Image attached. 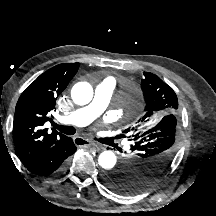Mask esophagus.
Here are the masks:
<instances>
[{
  "mask_svg": "<svg viewBox=\"0 0 216 216\" xmlns=\"http://www.w3.org/2000/svg\"><path fill=\"white\" fill-rule=\"evenodd\" d=\"M73 141H74V143H75L76 145H79V146H84V145L91 146V145H92V146H95L98 150L104 149L103 146H101V145H99V144H97V143H94V142H92V141H90V140L83 139V138H81V137H74V138H73Z\"/></svg>",
  "mask_w": 216,
  "mask_h": 216,
  "instance_id": "esophagus-1",
  "label": "esophagus"
}]
</instances>
